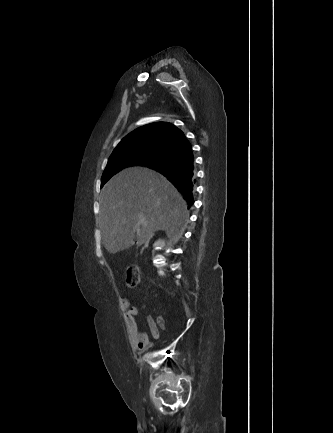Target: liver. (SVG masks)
Returning a JSON list of instances; mask_svg holds the SVG:
<instances>
[{"instance_id": "obj_1", "label": "liver", "mask_w": 333, "mask_h": 433, "mask_svg": "<svg viewBox=\"0 0 333 433\" xmlns=\"http://www.w3.org/2000/svg\"><path fill=\"white\" fill-rule=\"evenodd\" d=\"M186 201L158 172L129 167L113 176L100 195L99 227L111 254L131 247L139 229L140 244L157 230L176 242L188 222ZM144 220V223H140Z\"/></svg>"}]
</instances>
